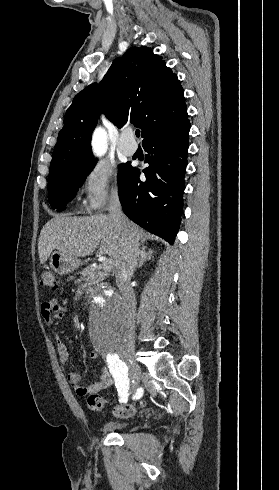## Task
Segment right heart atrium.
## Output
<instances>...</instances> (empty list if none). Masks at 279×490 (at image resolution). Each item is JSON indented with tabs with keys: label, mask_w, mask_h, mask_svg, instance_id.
<instances>
[{
	"label": "right heart atrium",
	"mask_w": 279,
	"mask_h": 490,
	"mask_svg": "<svg viewBox=\"0 0 279 490\" xmlns=\"http://www.w3.org/2000/svg\"><path fill=\"white\" fill-rule=\"evenodd\" d=\"M83 193V204L89 214L103 211L111 198H118L121 193V182L114 166L97 161L92 163L80 179Z\"/></svg>",
	"instance_id": "obj_1"
}]
</instances>
